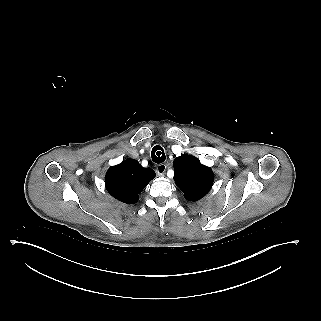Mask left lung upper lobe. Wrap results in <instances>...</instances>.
<instances>
[{
  "instance_id": "left-lung-upper-lobe-1",
  "label": "left lung upper lobe",
  "mask_w": 321,
  "mask_h": 321,
  "mask_svg": "<svg viewBox=\"0 0 321 321\" xmlns=\"http://www.w3.org/2000/svg\"><path fill=\"white\" fill-rule=\"evenodd\" d=\"M174 180L184 193L188 201H198L211 189L214 174L211 168L188 154L181 155L174 160Z\"/></svg>"
}]
</instances>
